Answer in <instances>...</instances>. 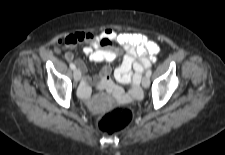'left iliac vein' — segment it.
Returning a JSON list of instances; mask_svg holds the SVG:
<instances>
[{
    "instance_id": "4c4485c4",
    "label": "left iliac vein",
    "mask_w": 225,
    "mask_h": 155,
    "mask_svg": "<svg viewBox=\"0 0 225 155\" xmlns=\"http://www.w3.org/2000/svg\"><path fill=\"white\" fill-rule=\"evenodd\" d=\"M149 85H150V78H149L147 75H145V76L142 78V86H143L144 88H148Z\"/></svg>"
}]
</instances>
